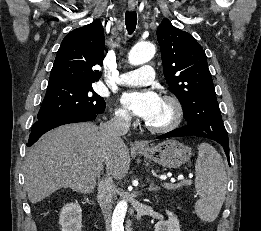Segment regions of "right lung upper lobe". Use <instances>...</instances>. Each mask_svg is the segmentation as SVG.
I'll use <instances>...</instances> for the list:
<instances>
[{
  "instance_id": "cb5924a9",
  "label": "right lung upper lobe",
  "mask_w": 261,
  "mask_h": 231,
  "mask_svg": "<svg viewBox=\"0 0 261 231\" xmlns=\"http://www.w3.org/2000/svg\"><path fill=\"white\" fill-rule=\"evenodd\" d=\"M104 41L103 26L98 20L68 33L57 52L48 88L88 86L98 81Z\"/></svg>"
}]
</instances>
